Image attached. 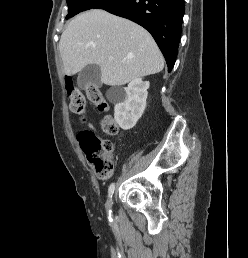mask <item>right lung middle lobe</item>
I'll return each instance as SVG.
<instances>
[{"label":"right lung middle lobe","mask_w":248,"mask_h":258,"mask_svg":"<svg viewBox=\"0 0 248 258\" xmlns=\"http://www.w3.org/2000/svg\"><path fill=\"white\" fill-rule=\"evenodd\" d=\"M109 1L111 0H67L68 15L66 16V19H69L82 11L98 8Z\"/></svg>","instance_id":"1"}]
</instances>
